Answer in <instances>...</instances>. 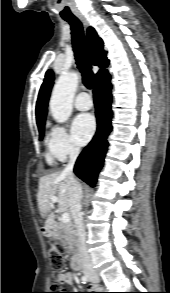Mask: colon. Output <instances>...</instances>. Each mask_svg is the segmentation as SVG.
Instances as JSON below:
<instances>
[{
    "mask_svg": "<svg viewBox=\"0 0 170 293\" xmlns=\"http://www.w3.org/2000/svg\"><path fill=\"white\" fill-rule=\"evenodd\" d=\"M48 259L55 273L53 278L55 290L52 293H65L62 291H63V285L67 282V277L65 276V272H64L66 262L62 255L61 250L60 249L52 250L49 253ZM86 293H90V292H86Z\"/></svg>",
    "mask_w": 170,
    "mask_h": 293,
    "instance_id": "colon-1",
    "label": "colon"
}]
</instances>
